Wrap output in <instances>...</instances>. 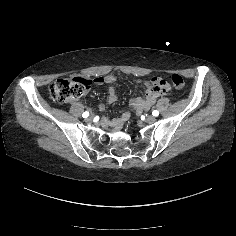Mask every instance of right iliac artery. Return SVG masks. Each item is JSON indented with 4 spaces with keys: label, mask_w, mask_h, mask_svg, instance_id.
I'll list each match as a JSON object with an SVG mask.
<instances>
[{
    "label": "right iliac artery",
    "mask_w": 236,
    "mask_h": 236,
    "mask_svg": "<svg viewBox=\"0 0 236 236\" xmlns=\"http://www.w3.org/2000/svg\"><path fill=\"white\" fill-rule=\"evenodd\" d=\"M82 116H83V118H87L88 116H89V112H84L83 114H82Z\"/></svg>",
    "instance_id": "right-iliac-artery-1"
}]
</instances>
